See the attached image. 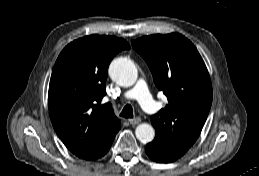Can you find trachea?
<instances>
[{"label":"trachea","instance_id":"obj_1","mask_svg":"<svg viewBox=\"0 0 259 176\" xmlns=\"http://www.w3.org/2000/svg\"><path fill=\"white\" fill-rule=\"evenodd\" d=\"M122 117H125V118H132L133 117V109H132V106L131 105H126L121 114H120Z\"/></svg>","mask_w":259,"mask_h":176}]
</instances>
